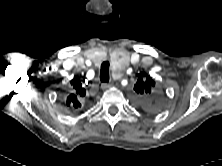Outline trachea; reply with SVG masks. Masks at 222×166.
Wrapping results in <instances>:
<instances>
[{"label": "trachea", "instance_id": "1", "mask_svg": "<svg viewBox=\"0 0 222 166\" xmlns=\"http://www.w3.org/2000/svg\"><path fill=\"white\" fill-rule=\"evenodd\" d=\"M100 80L101 82L107 83L109 81V62L105 61L101 65L100 70Z\"/></svg>", "mask_w": 222, "mask_h": 166}]
</instances>
